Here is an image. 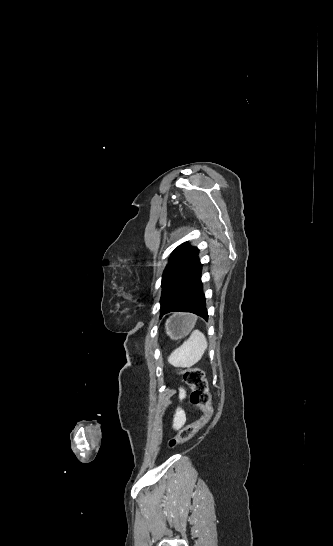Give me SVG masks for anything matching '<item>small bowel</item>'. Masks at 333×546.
<instances>
[{
	"label": "small bowel",
	"instance_id": "obj_1",
	"mask_svg": "<svg viewBox=\"0 0 333 546\" xmlns=\"http://www.w3.org/2000/svg\"><path fill=\"white\" fill-rule=\"evenodd\" d=\"M186 397V393L183 389L180 390V398L184 399ZM186 422V413L183 409L178 408L173 416V422L172 427L173 429H179L181 428L184 423Z\"/></svg>",
	"mask_w": 333,
	"mask_h": 546
}]
</instances>
